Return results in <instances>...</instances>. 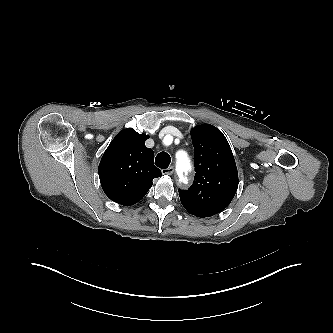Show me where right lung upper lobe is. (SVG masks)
<instances>
[{
    "label": "right lung upper lobe",
    "instance_id": "right-lung-upper-lobe-1",
    "mask_svg": "<svg viewBox=\"0 0 333 333\" xmlns=\"http://www.w3.org/2000/svg\"><path fill=\"white\" fill-rule=\"evenodd\" d=\"M148 135L132 128L112 140L98 167L101 186L112 201L130 206L141 200L152 180L162 175L153 164V150L145 146Z\"/></svg>",
    "mask_w": 333,
    "mask_h": 333
}]
</instances>
